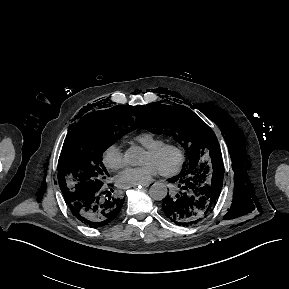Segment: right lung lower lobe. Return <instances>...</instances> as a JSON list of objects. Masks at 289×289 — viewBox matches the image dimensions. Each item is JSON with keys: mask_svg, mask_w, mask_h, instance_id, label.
Instances as JSON below:
<instances>
[{"mask_svg": "<svg viewBox=\"0 0 289 289\" xmlns=\"http://www.w3.org/2000/svg\"><path fill=\"white\" fill-rule=\"evenodd\" d=\"M111 192L104 191L101 187L65 200L80 222L91 228H98L113 221L122 208L124 198L112 195Z\"/></svg>", "mask_w": 289, "mask_h": 289, "instance_id": "98d812e1", "label": "right lung lower lobe"}]
</instances>
